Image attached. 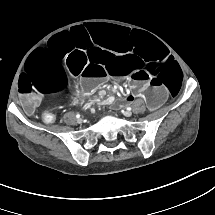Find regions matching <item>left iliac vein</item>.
<instances>
[{
  "mask_svg": "<svg viewBox=\"0 0 215 215\" xmlns=\"http://www.w3.org/2000/svg\"><path fill=\"white\" fill-rule=\"evenodd\" d=\"M123 114L126 117H131L132 116V112L130 110L124 111Z\"/></svg>",
  "mask_w": 215,
  "mask_h": 215,
  "instance_id": "4c4485c4",
  "label": "left iliac vein"
}]
</instances>
